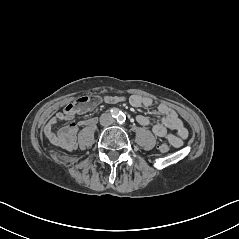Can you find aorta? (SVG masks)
<instances>
[{
    "mask_svg": "<svg viewBox=\"0 0 239 239\" xmlns=\"http://www.w3.org/2000/svg\"><path fill=\"white\" fill-rule=\"evenodd\" d=\"M117 121H118V122H123V116H122V115H119V116L117 117Z\"/></svg>",
    "mask_w": 239,
    "mask_h": 239,
    "instance_id": "1",
    "label": "aorta"
}]
</instances>
